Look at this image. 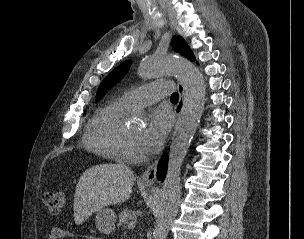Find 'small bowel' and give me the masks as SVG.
I'll list each match as a JSON object with an SVG mask.
<instances>
[{"instance_id": "obj_1", "label": "small bowel", "mask_w": 304, "mask_h": 239, "mask_svg": "<svg viewBox=\"0 0 304 239\" xmlns=\"http://www.w3.org/2000/svg\"><path fill=\"white\" fill-rule=\"evenodd\" d=\"M70 236V233L63 228L53 227L49 233V239H63Z\"/></svg>"}]
</instances>
